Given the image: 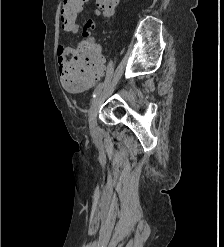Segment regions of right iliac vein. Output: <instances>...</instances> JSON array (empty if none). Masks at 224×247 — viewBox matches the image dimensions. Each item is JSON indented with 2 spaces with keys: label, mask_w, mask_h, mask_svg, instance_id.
Returning <instances> with one entry per match:
<instances>
[{
  "label": "right iliac vein",
  "mask_w": 224,
  "mask_h": 247,
  "mask_svg": "<svg viewBox=\"0 0 224 247\" xmlns=\"http://www.w3.org/2000/svg\"><path fill=\"white\" fill-rule=\"evenodd\" d=\"M103 93L100 92L97 97L94 99L92 102V105L90 107L89 111V121H90V127L91 131L93 133L97 132V114H98V109L102 100Z\"/></svg>",
  "instance_id": "1"
}]
</instances>
